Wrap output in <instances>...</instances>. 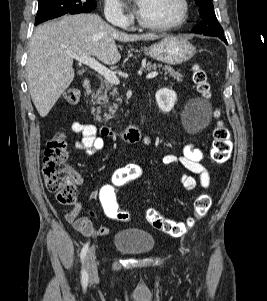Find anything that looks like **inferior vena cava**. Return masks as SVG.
<instances>
[{
    "label": "inferior vena cava",
    "instance_id": "1",
    "mask_svg": "<svg viewBox=\"0 0 267 301\" xmlns=\"http://www.w3.org/2000/svg\"><path fill=\"white\" fill-rule=\"evenodd\" d=\"M107 19L114 25H120V21L116 17H108Z\"/></svg>",
    "mask_w": 267,
    "mask_h": 301
}]
</instances>
